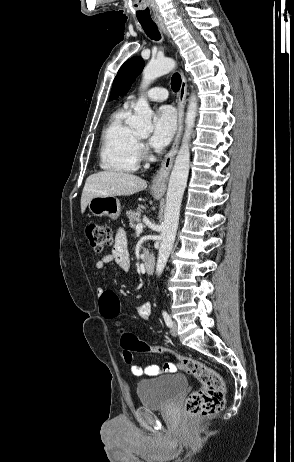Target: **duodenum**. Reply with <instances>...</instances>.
<instances>
[{
  "mask_svg": "<svg viewBox=\"0 0 294 462\" xmlns=\"http://www.w3.org/2000/svg\"><path fill=\"white\" fill-rule=\"evenodd\" d=\"M144 268L147 273H153L155 269V258L152 254L144 257Z\"/></svg>",
  "mask_w": 294,
  "mask_h": 462,
  "instance_id": "obj_1",
  "label": "duodenum"
}]
</instances>
